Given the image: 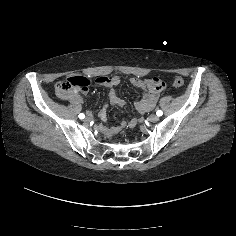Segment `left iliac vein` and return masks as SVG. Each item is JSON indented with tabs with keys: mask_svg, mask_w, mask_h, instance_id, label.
I'll list each match as a JSON object with an SVG mask.
<instances>
[{
	"mask_svg": "<svg viewBox=\"0 0 236 236\" xmlns=\"http://www.w3.org/2000/svg\"><path fill=\"white\" fill-rule=\"evenodd\" d=\"M148 120L152 123H155L159 120V116L156 115V114H151L149 117H148Z\"/></svg>",
	"mask_w": 236,
	"mask_h": 236,
	"instance_id": "obj_1",
	"label": "left iliac vein"
}]
</instances>
